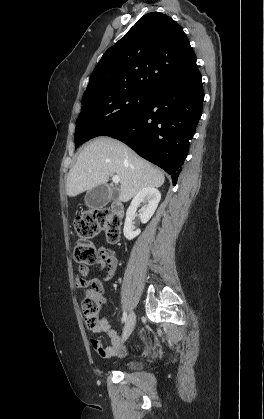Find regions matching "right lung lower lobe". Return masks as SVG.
Masks as SVG:
<instances>
[{"label": "right lung lower lobe", "instance_id": "obj_1", "mask_svg": "<svg viewBox=\"0 0 264 419\" xmlns=\"http://www.w3.org/2000/svg\"><path fill=\"white\" fill-rule=\"evenodd\" d=\"M204 91L199 74L188 82H171L151 91L133 115L104 132L172 176L175 185L202 114Z\"/></svg>", "mask_w": 264, "mask_h": 419}]
</instances>
